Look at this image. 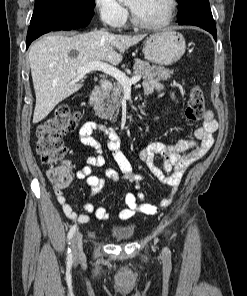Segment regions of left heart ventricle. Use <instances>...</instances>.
Here are the masks:
<instances>
[{
  "instance_id": "left-heart-ventricle-1",
  "label": "left heart ventricle",
  "mask_w": 247,
  "mask_h": 296,
  "mask_svg": "<svg viewBox=\"0 0 247 296\" xmlns=\"http://www.w3.org/2000/svg\"><path fill=\"white\" fill-rule=\"evenodd\" d=\"M127 4L141 22L149 24L162 21L168 11L166 0H128Z\"/></svg>"
}]
</instances>
